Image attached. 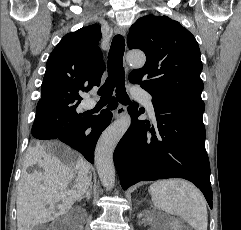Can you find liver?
Wrapping results in <instances>:
<instances>
[{
  "mask_svg": "<svg viewBox=\"0 0 241 230\" xmlns=\"http://www.w3.org/2000/svg\"><path fill=\"white\" fill-rule=\"evenodd\" d=\"M50 144L60 151L64 161L39 144L28 148L16 201L17 230H32L65 214L91 185L90 166L83 157L61 143ZM33 165L42 171L28 173ZM72 181L74 185L68 189ZM58 202L61 204L56 206Z\"/></svg>",
  "mask_w": 241,
  "mask_h": 230,
  "instance_id": "obj_1",
  "label": "liver"
}]
</instances>
